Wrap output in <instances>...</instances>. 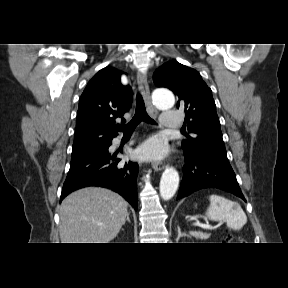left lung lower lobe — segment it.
<instances>
[{"label":"left lung lower lobe","mask_w":288,"mask_h":288,"mask_svg":"<svg viewBox=\"0 0 288 288\" xmlns=\"http://www.w3.org/2000/svg\"><path fill=\"white\" fill-rule=\"evenodd\" d=\"M185 152V151H184ZM186 165L177 199L204 188H218L245 198L229 162L205 152H185Z\"/></svg>","instance_id":"obj_1"}]
</instances>
